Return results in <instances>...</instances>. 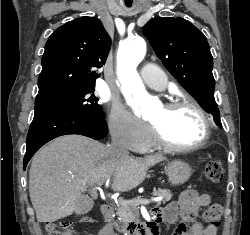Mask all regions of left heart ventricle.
Returning a JSON list of instances; mask_svg holds the SVG:
<instances>
[{"instance_id":"obj_1","label":"left heart ventricle","mask_w":250,"mask_h":235,"mask_svg":"<svg viewBox=\"0 0 250 235\" xmlns=\"http://www.w3.org/2000/svg\"><path fill=\"white\" fill-rule=\"evenodd\" d=\"M148 120L160 127L165 138L172 144H193L202 136L201 117L191 107L185 106L167 111L162 106L151 114Z\"/></svg>"}]
</instances>
